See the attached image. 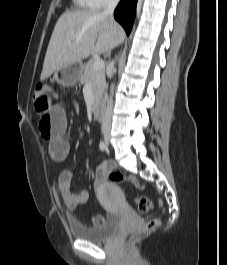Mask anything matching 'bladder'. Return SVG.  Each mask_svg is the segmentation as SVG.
<instances>
[{
  "mask_svg": "<svg viewBox=\"0 0 227 265\" xmlns=\"http://www.w3.org/2000/svg\"><path fill=\"white\" fill-rule=\"evenodd\" d=\"M116 193H120L118 187H114ZM121 218L117 214H110L100 225L86 227L76 222L69 223V231L73 238L92 243L103 242L111 237L119 228Z\"/></svg>",
  "mask_w": 227,
  "mask_h": 265,
  "instance_id": "obj_1",
  "label": "bladder"
}]
</instances>
